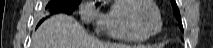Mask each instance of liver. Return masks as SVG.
Returning <instances> with one entry per match:
<instances>
[{"label": "liver", "mask_w": 213, "mask_h": 48, "mask_svg": "<svg viewBox=\"0 0 213 48\" xmlns=\"http://www.w3.org/2000/svg\"><path fill=\"white\" fill-rule=\"evenodd\" d=\"M31 48H139L105 43L86 33L73 17L58 14L45 20L32 34Z\"/></svg>", "instance_id": "1"}]
</instances>
